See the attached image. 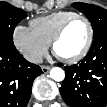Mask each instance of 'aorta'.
I'll return each instance as SVG.
<instances>
[{"label": "aorta", "mask_w": 107, "mask_h": 107, "mask_svg": "<svg viewBox=\"0 0 107 107\" xmlns=\"http://www.w3.org/2000/svg\"><path fill=\"white\" fill-rule=\"evenodd\" d=\"M50 77L57 81V82H60V81H63L64 78H65V72L62 68H59V67H54L50 70Z\"/></svg>", "instance_id": "1"}]
</instances>
